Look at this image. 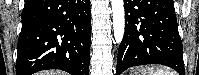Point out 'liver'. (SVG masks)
Returning a JSON list of instances; mask_svg holds the SVG:
<instances>
[{
    "mask_svg": "<svg viewBox=\"0 0 199 75\" xmlns=\"http://www.w3.org/2000/svg\"><path fill=\"white\" fill-rule=\"evenodd\" d=\"M38 75H65V73L55 70V71L40 72Z\"/></svg>",
    "mask_w": 199,
    "mask_h": 75,
    "instance_id": "6515ba94",
    "label": "liver"
}]
</instances>
